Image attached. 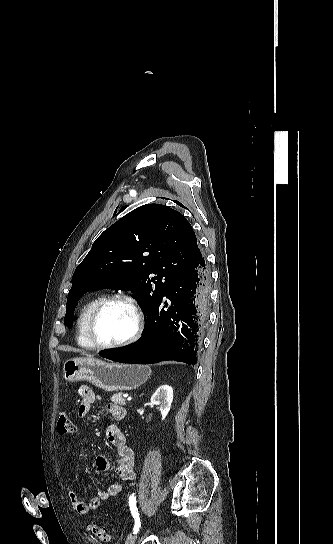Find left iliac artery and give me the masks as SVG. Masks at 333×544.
Wrapping results in <instances>:
<instances>
[{
    "label": "left iliac artery",
    "instance_id": "1",
    "mask_svg": "<svg viewBox=\"0 0 333 544\" xmlns=\"http://www.w3.org/2000/svg\"><path fill=\"white\" fill-rule=\"evenodd\" d=\"M129 507H130V511H131V514L134 518V521H135V525H134V528H133V533H137L140 529V526H141V522H140V516H139V513H138V509H137V506H136V496L135 494H131L130 497H129Z\"/></svg>",
    "mask_w": 333,
    "mask_h": 544
}]
</instances>
